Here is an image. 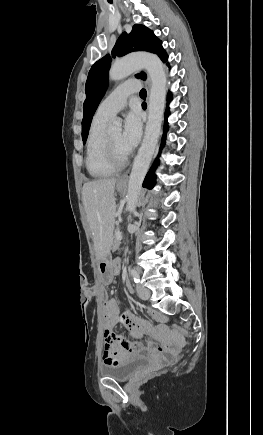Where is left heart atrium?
I'll list each match as a JSON object with an SVG mask.
<instances>
[{"instance_id":"1","label":"left heart atrium","mask_w":263,"mask_h":435,"mask_svg":"<svg viewBox=\"0 0 263 435\" xmlns=\"http://www.w3.org/2000/svg\"><path fill=\"white\" fill-rule=\"evenodd\" d=\"M142 135V123L136 111L129 112L125 117L124 130L122 133L121 144L125 153L134 149L140 141Z\"/></svg>"}]
</instances>
